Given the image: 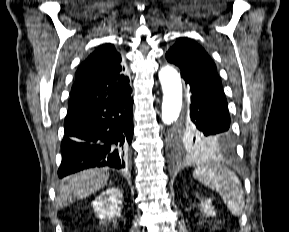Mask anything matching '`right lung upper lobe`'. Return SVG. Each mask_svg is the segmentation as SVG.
<instances>
[{"label": "right lung upper lobe", "mask_w": 289, "mask_h": 232, "mask_svg": "<svg viewBox=\"0 0 289 232\" xmlns=\"http://www.w3.org/2000/svg\"><path fill=\"white\" fill-rule=\"evenodd\" d=\"M121 56L111 44L96 49L77 69L69 109L114 99L131 88Z\"/></svg>", "instance_id": "obj_1"}]
</instances>
